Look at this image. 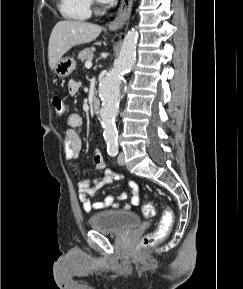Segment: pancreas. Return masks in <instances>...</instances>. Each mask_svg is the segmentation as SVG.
Returning <instances> with one entry per match:
<instances>
[{"mask_svg":"<svg viewBox=\"0 0 243 289\" xmlns=\"http://www.w3.org/2000/svg\"><path fill=\"white\" fill-rule=\"evenodd\" d=\"M77 59L81 62L91 61L93 59V53L89 48H86L78 54Z\"/></svg>","mask_w":243,"mask_h":289,"instance_id":"pancreas-1","label":"pancreas"}]
</instances>
